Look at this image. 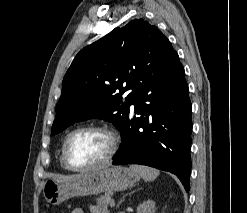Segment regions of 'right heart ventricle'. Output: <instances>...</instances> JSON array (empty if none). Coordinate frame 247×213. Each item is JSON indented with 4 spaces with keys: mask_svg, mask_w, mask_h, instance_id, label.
I'll list each match as a JSON object with an SVG mask.
<instances>
[{
    "mask_svg": "<svg viewBox=\"0 0 247 213\" xmlns=\"http://www.w3.org/2000/svg\"><path fill=\"white\" fill-rule=\"evenodd\" d=\"M60 163H61V165H62L65 169H67V168L64 166L61 157H60Z\"/></svg>",
    "mask_w": 247,
    "mask_h": 213,
    "instance_id": "obj_1",
    "label": "right heart ventricle"
}]
</instances>
